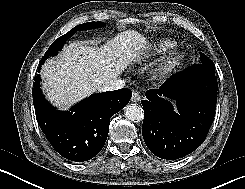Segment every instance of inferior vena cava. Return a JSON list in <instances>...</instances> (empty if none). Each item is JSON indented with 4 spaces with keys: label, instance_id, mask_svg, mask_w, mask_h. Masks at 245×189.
<instances>
[{
    "label": "inferior vena cava",
    "instance_id": "obj_1",
    "mask_svg": "<svg viewBox=\"0 0 245 189\" xmlns=\"http://www.w3.org/2000/svg\"><path fill=\"white\" fill-rule=\"evenodd\" d=\"M124 86H125V81L117 78L111 81L108 85L104 86L102 90L103 91H113V90L121 89Z\"/></svg>",
    "mask_w": 245,
    "mask_h": 189
}]
</instances>
